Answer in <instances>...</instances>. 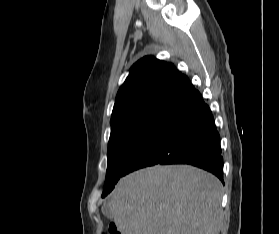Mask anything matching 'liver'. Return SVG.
Masks as SVG:
<instances>
[{
  "label": "liver",
  "mask_w": 279,
  "mask_h": 234,
  "mask_svg": "<svg viewBox=\"0 0 279 234\" xmlns=\"http://www.w3.org/2000/svg\"><path fill=\"white\" fill-rule=\"evenodd\" d=\"M222 184L189 165L154 166L117 183L105 205L121 234H219Z\"/></svg>",
  "instance_id": "obj_1"
}]
</instances>
